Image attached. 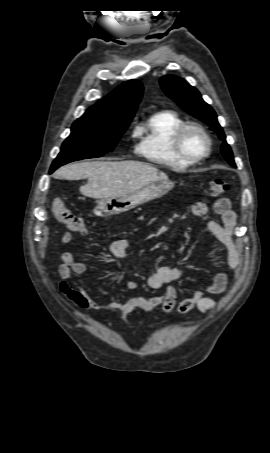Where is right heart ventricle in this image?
I'll use <instances>...</instances> for the list:
<instances>
[{
    "instance_id": "right-heart-ventricle-1",
    "label": "right heart ventricle",
    "mask_w": 270,
    "mask_h": 453,
    "mask_svg": "<svg viewBox=\"0 0 270 453\" xmlns=\"http://www.w3.org/2000/svg\"><path fill=\"white\" fill-rule=\"evenodd\" d=\"M184 124L177 112L164 109L152 114L139 128L137 152L151 163L164 167L184 169L192 166L179 157L172 145L175 131Z\"/></svg>"
}]
</instances>
